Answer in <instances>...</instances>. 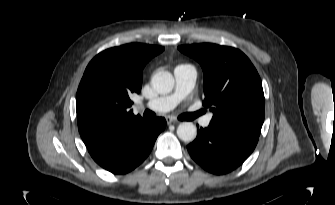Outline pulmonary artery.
Instances as JSON below:
<instances>
[{
  "label": "pulmonary artery",
  "mask_w": 335,
  "mask_h": 205,
  "mask_svg": "<svg viewBox=\"0 0 335 205\" xmlns=\"http://www.w3.org/2000/svg\"><path fill=\"white\" fill-rule=\"evenodd\" d=\"M175 89L173 93L158 97L145 103V107L156 112H167L175 108L192 90L197 71L189 64L177 65L174 69ZM212 119V114H208L201 119V125L207 127Z\"/></svg>",
  "instance_id": "obj_1"
}]
</instances>
